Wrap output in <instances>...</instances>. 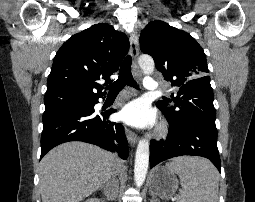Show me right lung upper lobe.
<instances>
[{"mask_svg":"<svg viewBox=\"0 0 255 202\" xmlns=\"http://www.w3.org/2000/svg\"><path fill=\"white\" fill-rule=\"evenodd\" d=\"M129 49L124 33L99 23L69 38L56 53L44 97L45 112L97 101L106 92L97 80L112 82ZM97 90V93L93 92Z\"/></svg>","mask_w":255,"mask_h":202,"instance_id":"obj_1","label":"right lung upper lobe"}]
</instances>
